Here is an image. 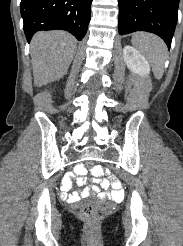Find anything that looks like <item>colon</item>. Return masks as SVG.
Instances as JSON below:
<instances>
[{"mask_svg": "<svg viewBox=\"0 0 183 246\" xmlns=\"http://www.w3.org/2000/svg\"><path fill=\"white\" fill-rule=\"evenodd\" d=\"M84 167L91 169V167H98L96 166V162H84ZM81 216L89 222H93L98 217V211L91 203L85 204L81 209Z\"/></svg>", "mask_w": 183, "mask_h": 246, "instance_id": "colon-1", "label": "colon"}]
</instances>
